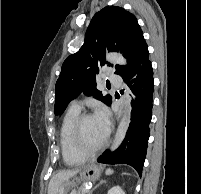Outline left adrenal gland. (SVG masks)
<instances>
[{
  "label": "left adrenal gland",
  "instance_id": "a2214340",
  "mask_svg": "<svg viewBox=\"0 0 201 194\" xmlns=\"http://www.w3.org/2000/svg\"><path fill=\"white\" fill-rule=\"evenodd\" d=\"M106 183V181L105 180H101L99 183H98V185H96L93 189H92V191H94L96 188H98L99 186H101V185H103V184H105ZM91 191V192H92ZM91 194V193H90Z\"/></svg>",
  "mask_w": 201,
  "mask_h": 194
}]
</instances>
